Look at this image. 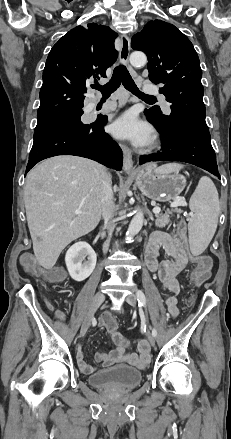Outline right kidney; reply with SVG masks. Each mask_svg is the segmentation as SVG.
Wrapping results in <instances>:
<instances>
[{
  "instance_id": "ca27d5eb",
  "label": "right kidney",
  "mask_w": 231,
  "mask_h": 439,
  "mask_svg": "<svg viewBox=\"0 0 231 439\" xmlns=\"http://www.w3.org/2000/svg\"><path fill=\"white\" fill-rule=\"evenodd\" d=\"M97 255L86 242H77L72 245L65 256L68 272L75 281H83L93 272Z\"/></svg>"
}]
</instances>
